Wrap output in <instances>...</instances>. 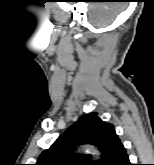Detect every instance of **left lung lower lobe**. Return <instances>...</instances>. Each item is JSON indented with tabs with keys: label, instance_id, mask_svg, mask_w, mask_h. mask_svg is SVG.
I'll use <instances>...</instances> for the list:
<instances>
[{
	"label": "left lung lower lobe",
	"instance_id": "left-lung-lower-lobe-1",
	"mask_svg": "<svg viewBox=\"0 0 154 165\" xmlns=\"http://www.w3.org/2000/svg\"><path fill=\"white\" fill-rule=\"evenodd\" d=\"M113 165H131L124 147H122L118 152Z\"/></svg>",
	"mask_w": 154,
	"mask_h": 165
}]
</instances>
